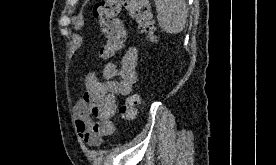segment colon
Masks as SVG:
<instances>
[{"instance_id": "1", "label": "colon", "mask_w": 276, "mask_h": 165, "mask_svg": "<svg viewBox=\"0 0 276 165\" xmlns=\"http://www.w3.org/2000/svg\"><path fill=\"white\" fill-rule=\"evenodd\" d=\"M125 10L137 23L144 41L156 40L155 27L148 0H100L93 9L94 17L98 20L104 43L99 51V56L108 58L119 52L125 43L126 33L119 19L121 11ZM140 96H128L119 108L120 118L132 121L137 115Z\"/></svg>"}]
</instances>
